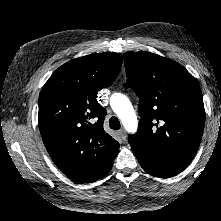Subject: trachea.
Listing matches in <instances>:
<instances>
[{"mask_svg":"<svg viewBox=\"0 0 221 221\" xmlns=\"http://www.w3.org/2000/svg\"><path fill=\"white\" fill-rule=\"evenodd\" d=\"M109 126L113 130H119L120 129V121L117 117L112 116L109 120Z\"/></svg>","mask_w":221,"mask_h":221,"instance_id":"1","label":"trachea"}]
</instances>
